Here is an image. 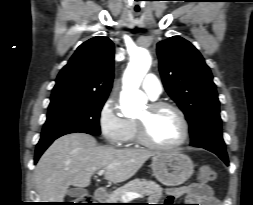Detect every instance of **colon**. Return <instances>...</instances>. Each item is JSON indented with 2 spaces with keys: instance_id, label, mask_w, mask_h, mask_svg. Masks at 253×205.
Returning a JSON list of instances; mask_svg holds the SVG:
<instances>
[{
  "instance_id": "1",
  "label": "colon",
  "mask_w": 253,
  "mask_h": 205,
  "mask_svg": "<svg viewBox=\"0 0 253 205\" xmlns=\"http://www.w3.org/2000/svg\"><path fill=\"white\" fill-rule=\"evenodd\" d=\"M215 172L208 163H201L198 167L197 179L200 183L204 184L214 180ZM74 205H92V199L89 196L77 198Z\"/></svg>"
}]
</instances>
